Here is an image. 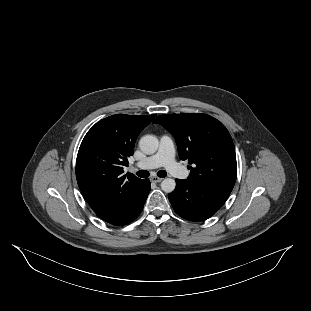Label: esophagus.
Returning <instances> with one entry per match:
<instances>
[{
	"label": "esophagus",
	"mask_w": 311,
	"mask_h": 311,
	"mask_svg": "<svg viewBox=\"0 0 311 311\" xmlns=\"http://www.w3.org/2000/svg\"><path fill=\"white\" fill-rule=\"evenodd\" d=\"M162 180H163L162 178H160V177H155V176L151 178V181L154 182V183H159V182H161Z\"/></svg>",
	"instance_id": "1"
}]
</instances>
